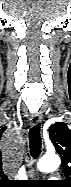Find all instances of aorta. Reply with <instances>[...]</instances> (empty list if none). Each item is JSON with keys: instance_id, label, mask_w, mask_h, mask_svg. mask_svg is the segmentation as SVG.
<instances>
[{"instance_id": "aorta-1", "label": "aorta", "mask_w": 71, "mask_h": 187, "mask_svg": "<svg viewBox=\"0 0 71 187\" xmlns=\"http://www.w3.org/2000/svg\"><path fill=\"white\" fill-rule=\"evenodd\" d=\"M60 162V158L55 154L45 155L38 161L37 168L41 172H53L59 167Z\"/></svg>"}]
</instances>
